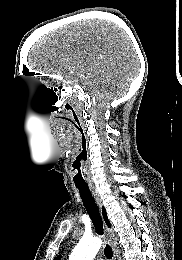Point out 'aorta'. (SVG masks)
<instances>
[{"mask_svg":"<svg viewBox=\"0 0 182 260\" xmlns=\"http://www.w3.org/2000/svg\"><path fill=\"white\" fill-rule=\"evenodd\" d=\"M101 245L102 241L98 237H83L74 248L69 260H93Z\"/></svg>","mask_w":182,"mask_h":260,"instance_id":"aorta-1","label":"aorta"}]
</instances>
